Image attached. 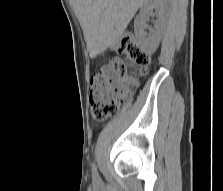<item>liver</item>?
<instances>
[{"mask_svg": "<svg viewBox=\"0 0 223 191\" xmlns=\"http://www.w3.org/2000/svg\"><path fill=\"white\" fill-rule=\"evenodd\" d=\"M94 57L115 44L145 0H72Z\"/></svg>", "mask_w": 223, "mask_h": 191, "instance_id": "1", "label": "liver"}]
</instances>
